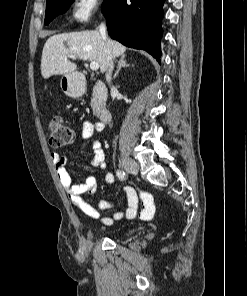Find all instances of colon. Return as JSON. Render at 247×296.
I'll return each instance as SVG.
<instances>
[{
    "label": "colon",
    "instance_id": "obj_1",
    "mask_svg": "<svg viewBox=\"0 0 247 296\" xmlns=\"http://www.w3.org/2000/svg\"><path fill=\"white\" fill-rule=\"evenodd\" d=\"M47 134L50 145L54 148H62L71 144L75 137L74 130L59 116H54L50 120Z\"/></svg>",
    "mask_w": 247,
    "mask_h": 296
}]
</instances>
